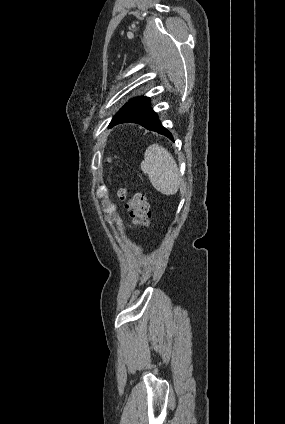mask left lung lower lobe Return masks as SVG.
<instances>
[{
    "mask_svg": "<svg viewBox=\"0 0 285 424\" xmlns=\"http://www.w3.org/2000/svg\"><path fill=\"white\" fill-rule=\"evenodd\" d=\"M120 123H137L173 140L171 133L162 126L157 114L151 109L149 98L145 96L133 98L126 103L115 114L109 127Z\"/></svg>",
    "mask_w": 285,
    "mask_h": 424,
    "instance_id": "left-lung-lower-lobe-1",
    "label": "left lung lower lobe"
}]
</instances>
